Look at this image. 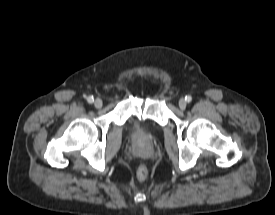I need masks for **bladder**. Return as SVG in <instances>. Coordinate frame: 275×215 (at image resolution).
<instances>
[{
  "instance_id": "bladder-1",
  "label": "bladder",
  "mask_w": 275,
  "mask_h": 215,
  "mask_svg": "<svg viewBox=\"0 0 275 215\" xmlns=\"http://www.w3.org/2000/svg\"><path fill=\"white\" fill-rule=\"evenodd\" d=\"M130 131L135 136H143L146 133L145 122L139 117H133L129 123Z\"/></svg>"
}]
</instances>
